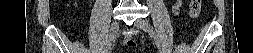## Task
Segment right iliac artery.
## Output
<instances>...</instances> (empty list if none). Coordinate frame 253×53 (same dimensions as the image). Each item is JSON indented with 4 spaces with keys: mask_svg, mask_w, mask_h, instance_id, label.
Listing matches in <instances>:
<instances>
[{
    "mask_svg": "<svg viewBox=\"0 0 253 53\" xmlns=\"http://www.w3.org/2000/svg\"><path fill=\"white\" fill-rule=\"evenodd\" d=\"M110 48H111V46L108 45V46H107V49H110Z\"/></svg>",
    "mask_w": 253,
    "mask_h": 53,
    "instance_id": "1",
    "label": "right iliac artery"
}]
</instances>
